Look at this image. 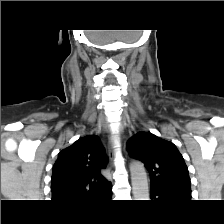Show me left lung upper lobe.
<instances>
[{
  "instance_id": "left-lung-upper-lobe-1",
  "label": "left lung upper lobe",
  "mask_w": 224,
  "mask_h": 224,
  "mask_svg": "<svg viewBox=\"0 0 224 224\" xmlns=\"http://www.w3.org/2000/svg\"><path fill=\"white\" fill-rule=\"evenodd\" d=\"M128 152L144 163L151 176V186L191 194L188 168L172 142L140 132L129 142Z\"/></svg>"
}]
</instances>
